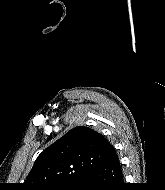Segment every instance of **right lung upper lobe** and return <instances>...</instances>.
I'll use <instances>...</instances> for the list:
<instances>
[{"label": "right lung upper lobe", "mask_w": 165, "mask_h": 190, "mask_svg": "<svg viewBox=\"0 0 165 190\" xmlns=\"http://www.w3.org/2000/svg\"><path fill=\"white\" fill-rule=\"evenodd\" d=\"M115 156V149L103 135L83 126L73 128L37 157L23 187L48 190L76 183L86 172Z\"/></svg>", "instance_id": "cb5924a9"}]
</instances>
